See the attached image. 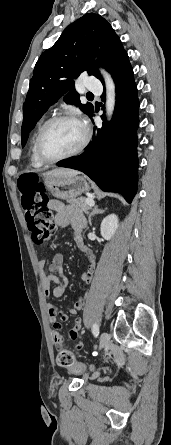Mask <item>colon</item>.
<instances>
[{"mask_svg": "<svg viewBox=\"0 0 171 445\" xmlns=\"http://www.w3.org/2000/svg\"><path fill=\"white\" fill-rule=\"evenodd\" d=\"M18 191L34 243L47 246L56 234V227L52 222L44 184L36 176L27 175L18 180ZM57 363L74 373H80L84 369V365L75 360L72 351L62 345L57 347Z\"/></svg>", "mask_w": 171, "mask_h": 445, "instance_id": "obj_1", "label": "colon"}]
</instances>
